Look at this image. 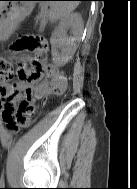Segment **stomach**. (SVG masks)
<instances>
[{
    "instance_id": "1",
    "label": "stomach",
    "mask_w": 137,
    "mask_h": 189,
    "mask_svg": "<svg viewBox=\"0 0 137 189\" xmlns=\"http://www.w3.org/2000/svg\"><path fill=\"white\" fill-rule=\"evenodd\" d=\"M11 6V11H9L8 13H7V17L6 18H4V15H2L1 17V19H0V29H5L8 25V21L10 20V16L12 15V10H13V8L16 6L15 4H10ZM7 6H8V4H5V6H4V9H7ZM0 12H1V10H0Z\"/></svg>"
}]
</instances>
